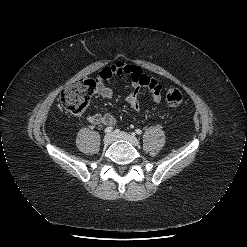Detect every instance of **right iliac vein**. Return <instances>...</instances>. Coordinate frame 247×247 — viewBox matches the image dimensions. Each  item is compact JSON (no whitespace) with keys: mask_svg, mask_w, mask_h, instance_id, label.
Wrapping results in <instances>:
<instances>
[{"mask_svg":"<svg viewBox=\"0 0 247 247\" xmlns=\"http://www.w3.org/2000/svg\"><path fill=\"white\" fill-rule=\"evenodd\" d=\"M113 140H114L113 135L109 133L104 136L103 143L105 145H110L113 142Z\"/></svg>","mask_w":247,"mask_h":247,"instance_id":"right-iliac-vein-1","label":"right iliac vein"}]
</instances>
